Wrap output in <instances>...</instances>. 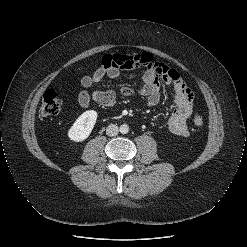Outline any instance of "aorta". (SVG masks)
I'll return each mask as SVG.
<instances>
[{
	"mask_svg": "<svg viewBox=\"0 0 247 247\" xmlns=\"http://www.w3.org/2000/svg\"><path fill=\"white\" fill-rule=\"evenodd\" d=\"M120 132H121L122 134H127V133L129 132V127H128V125H126V124L121 125V126H120Z\"/></svg>",
	"mask_w": 247,
	"mask_h": 247,
	"instance_id": "obj_1",
	"label": "aorta"
}]
</instances>
